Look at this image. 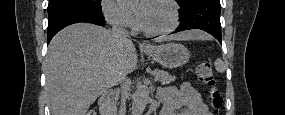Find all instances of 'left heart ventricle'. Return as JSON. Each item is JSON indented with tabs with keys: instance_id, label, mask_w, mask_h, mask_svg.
Segmentation results:
<instances>
[{
	"instance_id": "obj_1",
	"label": "left heart ventricle",
	"mask_w": 285,
	"mask_h": 115,
	"mask_svg": "<svg viewBox=\"0 0 285 115\" xmlns=\"http://www.w3.org/2000/svg\"><path fill=\"white\" fill-rule=\"evenodd\" d=\"M139 10L143 13L141 23L149 30H164L173 24L171 7L165 2H147L143 4Z\"/></svg>"
}]
</instances>
